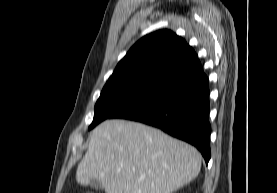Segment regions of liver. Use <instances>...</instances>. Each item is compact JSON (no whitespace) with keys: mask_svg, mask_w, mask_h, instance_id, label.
Listing matches in <instances>:
<instances>
[{"mask_svg":"<svg viewBox=\"0 0 277 193\" xmlns=\"http://www.w3.org/2000/svg\"><path fill=\"white\" fill-rule=\"evenodd\" d=\"M200 169L193 146L141 123L107 120L92 131L76 180L98 179L106 193H172Z\"/></svg>","mask_w":277,"mask_h":193,"instance_id":"obj_1","label":"liver"}]
</instances>
